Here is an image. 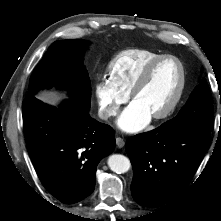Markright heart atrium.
Listing matches in <instances>:
<instances>
[{
    "label": "right heart atrium",
    "instance_id": "right-heart-atrium-1",
    "mask_svg": "<svg viewBox=\"0 0 221 221\" xmlns=\"http://www.w3.org/2000/svg\"><path fill=\"white\" fill-rule=\"evenodd\" d=\"M94 92L102 118L116 116L123 104L129 99V94L119 89L109 78L102 77L94 86Z\"/></svg>",
    "mask_w": 221,
    "mask_h": 221
}]
</instances>
